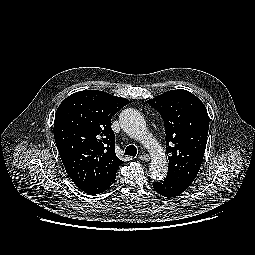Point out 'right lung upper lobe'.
Wrapping results in <instances>:
<instances>
[{
    "instance_id": "right-lung-upper-lobe-1",
    "label": "right lung upper lobe",
    "mask_w": 255,
    "mask_h": 255,
    "mask_svg": "<svg viewBox=\"0 0 255 255\" xmlns=\"http://www.w3.org/2000/svg\"><path fill=\"white\" fill-rule=\"evenodd\" d=\"M129 101L99 90L68 96L58 107L54 138L62 163L77 187L102 184L123 163L115 153L112 116Z\"/></svg>"
}]
</instances>
